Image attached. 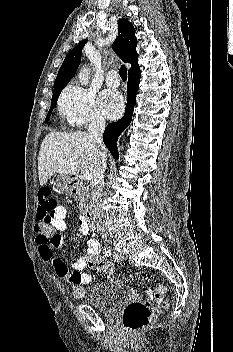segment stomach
<instances>
[{"instance_id":"obj_1","label":"stomach","mask_w":233,"mask_h":352,"mask_svg":"<svg viewBox=\"0 0 233 352\" xmlns=\"http://www.w3.org/2000/svg\"><path fill=\"white\" fill-rule=\"evenodd\" d=\"M73 178L70 175L61 174L57 177V186L65 193H71L73 190L72 186Z\"/></svg>"}]
</instances>
